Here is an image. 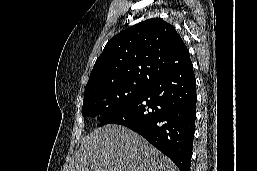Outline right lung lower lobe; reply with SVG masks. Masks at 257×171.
<instances>
[{"instance_id": "1", "label": "right lung lower lobe", "mask_w": 257, "mask_h": 171, "mask_svg": "<svg viewBox=\"0 0 257 171\" xmlns=\"http://www.w3.org/2000/svg\"><path fill=\"white\" fill-rule=\"evenodd\" d=\"M196 101L195 75L189 62L152 81L135 101L105 124L132 129L167 155L180 171H189Z\"/></svg>"}]
</instances>
